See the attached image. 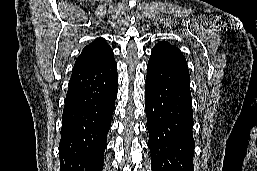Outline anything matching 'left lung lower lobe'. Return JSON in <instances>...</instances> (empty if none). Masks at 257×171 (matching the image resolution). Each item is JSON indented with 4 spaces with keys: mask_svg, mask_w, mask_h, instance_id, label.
Listing matches in <instances>:
<instances>
[{
    "mask_svg": "<svg viewBox=\"0 0 257 171\" xmlns=\"http://www.w3.org/2000/svg\"><path fill=\"white\" fill-rule=\"evenodd\" d=\"M145 110L152 171H194L190 75L175 46H156L147 66Z\"/></svg>",
    "mask_w": 257,
    "mask_h": 171,
    "instance_id": "obj_1",
    "label": "left lung lower lobe"
}]
</instances>
